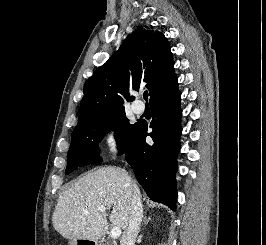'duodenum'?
I'll return each instance as SVG.
<instances>
[{
	"instance_id": "obj_1",
	"label": "duodenum",
	"mask_w": 266,
	"mask_h": 245,
	"mask_svg": "<svg viewBox=\"0 0 266 245\" xmlns=\"http://www.w3.org/2000/svg\"><path fill=\"white\" fill-rule=\"evenodd\" d=\"M76 245H104L103 237H75Z\"/></svg>"
}]
</instances>
